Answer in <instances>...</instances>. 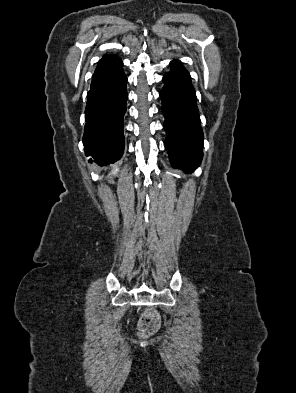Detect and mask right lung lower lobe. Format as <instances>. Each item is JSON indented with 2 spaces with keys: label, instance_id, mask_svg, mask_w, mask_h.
<instances>
[{
  "label": "right lung lower lobe",
  "instance_id": "98d812e1",
  "mask_svg": "<svg viewBox=\"0 0 296 393\" xmlns=\"http://www.w3.org/2000/svg\"><path fill=\"white\" fill-rule=\"evenodd\" d=\"M126 83L121 59L116 55H104L98 62L87 94L83 135L86 156L93 157L100 166L118 161L124 151Z\"/></svg>",
  "mask_w": 296,
  "mask_h": 393
}]
</instances>
